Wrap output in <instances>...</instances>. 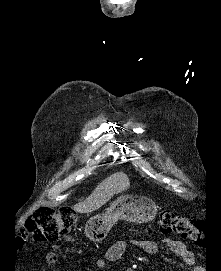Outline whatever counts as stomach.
Returning a JSON list of instances; mask_svg holds the SVG:
<instances>
[{
	"label": "stomach",
	"mask_w": 221,
	"mask_h": 271,
	"mask_svg": "<svg viewBox=\"0 0 221 271\" xmlns=\"http://www.w3.org/2000/svg\"><path fill=\"white\" fill-rule=\"evenodd\" d=\"M150 207H153L151 197H119L107 207L104 215H93L88 219L85 233L92 241H101L118 219H129L136 223L152 219L156 208Z\"/></svg>",
	"instance_id": "stomach-1"
}]
</instances>
